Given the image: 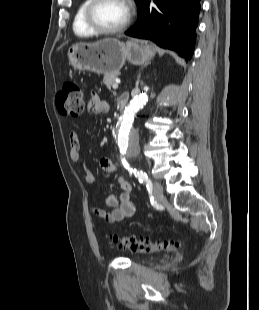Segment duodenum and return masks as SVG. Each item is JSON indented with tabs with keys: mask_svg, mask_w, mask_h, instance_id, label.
Masks as SVG:
<instances>
[{
	"mask_svg": "<svg viewBox=\"0 0 259 310\" xmlns=\"http://www.w3.org/2000/svg\"><path fill=\"white\" fill-rule=\"evenodd\" d=\"M129 102V97L127 95H123L119 98L118 106L122 110L126 107Z\"/></svg>",
	"mask_w": 259,
	"mask_h": 310,
	"instance_id": "410a0bca",
	"label": "duodenum"
}]
</instances>
